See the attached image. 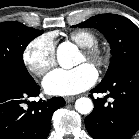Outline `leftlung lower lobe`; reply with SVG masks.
Returning <instances> with one entry per match:
<instances>
[{
  "label": "left lung lower lobe",
  "mask_w": 139,
  "mask_h": 139,
  "mask_svg": "<svg viewBox=\"0 0 139 139\" xmlns=\"http://www.w3.org/2000/svg\"><path fill=\"white\" fill-rule=\"evenodd\" d=\"M93 92H109L114 102L94 99V109L85 119L89 134L94 139L131 138L139 129V62L128 65L110 82L96 86Z\"/></svg>",
  "instance_id": "left-lung-lower-lobe-1"
}]
</instances>
